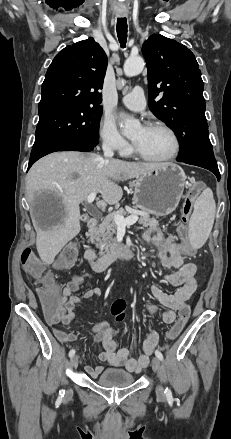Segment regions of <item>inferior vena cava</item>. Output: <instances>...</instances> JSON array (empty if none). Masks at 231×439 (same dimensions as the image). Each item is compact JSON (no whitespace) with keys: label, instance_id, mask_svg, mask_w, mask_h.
I'll return each mask as SVG.
<instances>
[{"label":"inferior vena cava","instance_id":"602c4592","mask_svg":"<svg viewBox=\"0 0 231 439\" xmlns=\"http://www.w3.org/2000/svg\"><path fill=\"white\" fill-rule=\"evenodd\" d=\"M103 148V152H104V157L106 158H112L114 155L113 149L110 145L108 144H103L102 146Z\"/></svg>","mask_w":231,"mask_h":439}]
</instances>
